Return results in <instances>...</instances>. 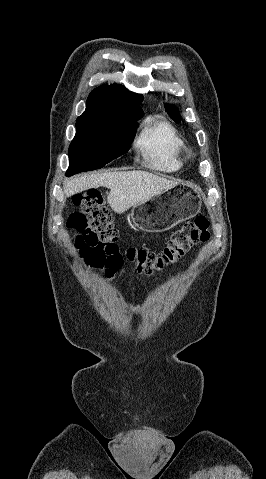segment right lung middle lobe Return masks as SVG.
Segmentation results:
<instances>
[{"label": "right lung middle lobe", "instance_id": "obj_1", "mask_svg": "<svg viewBox=\"0 0 266 479\" xmlns=\"http://www.w3.org/2000/svg\"><path fill=\"white\" fill-rule=\"evenodd\" d=\"M137 125V120L77 119L66 176L102 168L128 152Z\"/></svg>", "mask_w": 266, "mask_h": 479}]
</instances>
